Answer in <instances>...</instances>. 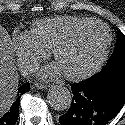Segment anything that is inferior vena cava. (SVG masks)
<instances>
[{
  "label": "inferior vena cava",
  "mask_w": 125,
  "mask_h": 125,
  "mask_svg": "<svg viewBox=\"0 0 125 125\" xmlns=\"http://www.w3.org/2000/svg\"><path fill=\"white\" fill-rule=\"evenodd\" d=\"M28 69H30V71H32V68L30 67V68H28Z\"/></svg>",
  "instance_id": "obj_1"
}]
</instances>
